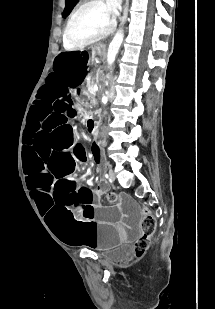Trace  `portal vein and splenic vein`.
<instances>
[{
    "mask_svg": "<svg viewBox=\"0 0 215 309\" xmlns=\"http://www.w3.org/2000/svg\"><path fill=\"white\" fill-rule=\"evenodd\" d=\"M96 90H98L97 84H95V86H93V90H91L92 94H95Z\"/></svg>",
    "mask_w": 215,
    "mask_h": 309,
    "instance_id": "portal-vein-and-splenic-vein-1",
    "label": "portal vein and splenic vein"
}]
</instances>
